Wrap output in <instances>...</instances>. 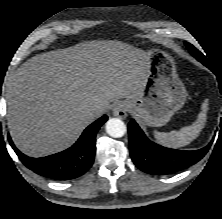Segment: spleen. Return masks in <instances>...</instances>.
Returning a JSON list of instances; mask_svg holds the SVG:
<instances>
[{"label": "spleen", "mask_w": 222, "mask_h": 219, "mask_svg": "<svg viewBox=\"0 0 222 219\" xmlns=\"http://www.w3.org/2000/svg\"><path fill=\"white\" fill-rule=\"evenodd\" d=\"M208 111V100H205L201 105V112L198 114L196 121L181 128L179 131L158 132L154 131L155 139L162 145L170 148H180L189 145L196 139L204 126L206 125Z\"/></svg>", "instance_id": "3e777b00"}]
</instances>
